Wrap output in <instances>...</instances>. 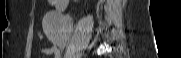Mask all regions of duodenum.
<instances>
[{
  "label": "duodenum",
  "instance_id": "obj_1",
  "mask_svg": "<svg viewBox=\"0 0 181 58\" xmlns=\"http://www.w3.org/2000/svg\"><path fill=\"white\" fill-rule=\"evenodd\" d=\"M55 5H57L59 8H63L67 4V0H55Z\"/></svg>",
  "mask_w": 181,
  "mask_h": 58
}]
</instances>
